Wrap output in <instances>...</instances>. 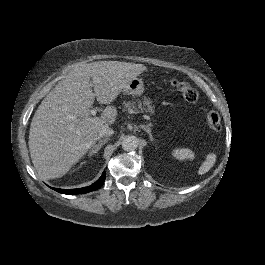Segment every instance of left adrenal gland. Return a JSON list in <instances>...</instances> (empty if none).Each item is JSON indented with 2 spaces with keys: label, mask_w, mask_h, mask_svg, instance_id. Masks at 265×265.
<instances>
[{
  "label": "left adrenal gland",
  "mask_w": 265,
  "mask_h": 265,
  "mask_svg": "<svg viewBox=\"0 0 265 265\" xmlns=\"http://www.w3.org/2000/svg\"><path fill=\"white\" fill-rule=\"evenodd\" d=\"M151 125L150 124H147V125H139L138 128H141L143 129L146 133H148L149 135V138L151 141H154V138L152 136V133H151Z\"/></svg>",
  "instance_id": "a2214340"
}]
</instances>
